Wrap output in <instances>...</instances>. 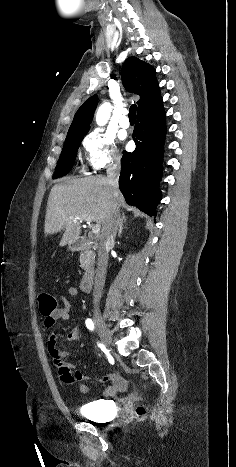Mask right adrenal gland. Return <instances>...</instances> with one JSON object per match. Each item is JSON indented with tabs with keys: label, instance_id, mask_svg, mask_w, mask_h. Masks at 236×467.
I'll use <instances>...</instances> for the list:
<instances>
[{
	"label": "right adrenal gland",
	"instance_id": "2a0ac1e0",
	"mask_svg": "<svg viewBox=\"0 0 236 467\" xmlns=\"http://www.w3.org/2000/svg\"><path fill=\"white\" fill-rule=\"evenodd\" d=\"M125 222H126V218H125V217H123L122 219H120V222H119V230H118V237L121 236V233H122L123 228H124L123 225H124Z\"/></svg>",
	"mask_w": 236,
	"mask_h": 467
}]
</instances>
